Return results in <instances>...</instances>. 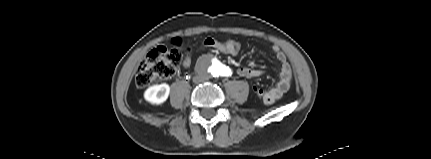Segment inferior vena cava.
<instances>
[{
    "instance_id": "inferior-vena-cava-1",
    "label": "inferior vena cava",
    "mask_w": 431,
    "mask_h": 159,
    "mask_svg": "<svg viewBox=\"0 0 431 159\" xmlns=\"http://www.w3.org/2000/svg\"><path fill=\"white\" fill-rule=\"evenodd\" d=\"M206 79H207V76H206V75L198 74V75H195V76L193 77V82H195V83H200V82H204Z\"/></svg>"
}]
</instances>
